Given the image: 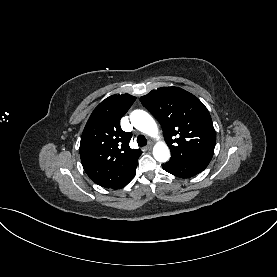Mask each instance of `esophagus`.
Returning <instances> with one entry per match:
<instances>
[{"label": "esophagus", "mask_w": 277, "mask_h": 277, "mask_svg": "<svg viewBox=\"0 0 277 277\" xmlns=\"http://www.w3.org/2000/svg\"><path fill=\"white\" fill-rule=\"evenodd\" d=\"M152 147H153V143H152V142H149L148 145L146 146V148H147L148 150H151Z\"/></svg>", "instance_id": "1"}]
</instances>
